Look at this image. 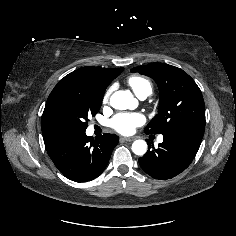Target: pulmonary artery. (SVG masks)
I'll return each mask as SVG.
<instances>
[{
  "instance_id": "e3ab8cb5",
  "label": "pulmonary artery",
  "mask_w": 236,
  "mask_h": 236,
  "mask_svg": "<svg viewBox=\"0 0 236 236\" xmlns=\"http://www.w3.org/2000/svg\"><path fill=\"white\" fill-rule=\"evenodd\" d=\"M140 99H145L146 97H139ZM163 141V136H159L158 137V142H162Z\"/></svg>"
}]
</instances>
